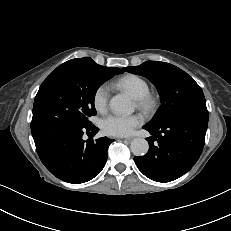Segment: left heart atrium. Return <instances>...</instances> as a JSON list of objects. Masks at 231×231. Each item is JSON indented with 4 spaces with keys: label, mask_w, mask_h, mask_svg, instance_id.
<instances>
[{
    "label": "left heart atrium",
    "mask_w": 231,
    "mask_h": 231,
    "mask_svg": "<svg viewBox=\"0 0 231 231\" xmlns=\"http://www.w3.org/2000/svg\"><path fill=\"white\" fill-rule=\"evenodd\" d=\"M143 119L140 115H118L111 114L106 116L101 122L103 132L111 136H127L141 125Z\"/></svg>",
    "instance_id": "1"
}]
</instances>
